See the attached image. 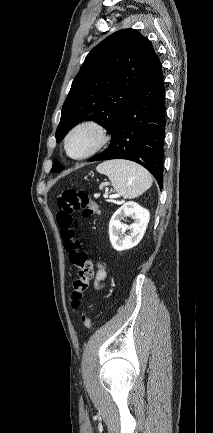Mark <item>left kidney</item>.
<instances>
[{"label":"left kidney","instance_id":"5707ae66","mask_svg":"<svg viewBox=\"0 0 213 433\" xmlns=\"http://www.w3.org/2000/svg\"><path fill=\"white\" fill-rule=\"evenodd\" d=\"M125 217L133 219L132 224H123ZM149 220V211L136 202L128 201L123 204L113 214L109 223V238L113 248L123 251L135 247L143 238ZM126 230H130L128 235L125 234Z\"/></svg>","mask_w":213,"mask_h":433}]
</instances>
